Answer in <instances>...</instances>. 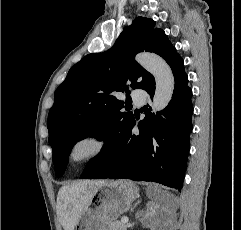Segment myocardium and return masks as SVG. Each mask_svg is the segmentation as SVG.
<instances>
[{
  "instance_id": "f54148a6",
  "label": "myocardium",
  "mask_w": 241,
  "mask_h": 230,
  "mask_svg": "<svg viewBox=\"0 0 241 230\" xmlns=\"http://www.w3.org/2000/svg\"><path fill=\"white\" fill-rule=\"evenodd\" d=\"M82 143H88L92 146V148L83 157L79 159H75L73 155L74 150L78 145ZM107 148H108V141L104 136L98 133L89 132V133L79 135L78 137L73 139V141L68 146V149L66 152V158L68 163L71 166L76 167L99 158L106 152Z\"/></svg>"
}]
</instances>
